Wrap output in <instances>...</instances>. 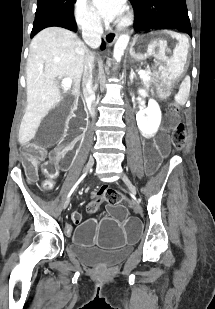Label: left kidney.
<instances>
[{
	"mask_svg": "<svg viewBox=\"0 0 215 309\" xmlns=\"http://www.w3.org/2000/svg\"><path fill=\"white\" fill-rule=\"evenodd\" d=\"M138 92L141 96H148L147 92L142 90V88ZM161 118V108L154 98H150L147 108L139 110L136 114L138 128H140L142 134H145V136H152V134L157 132Z\"/></svg>",
	"mask_w": 215,
	"mask_h": 309,
	"instance_id": "5707ae66",
	"label": "left kidney"
}]
</instances>
